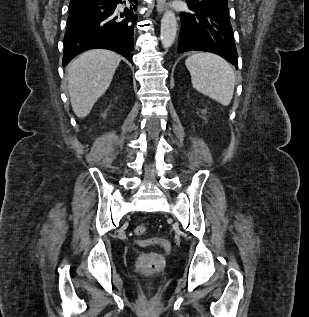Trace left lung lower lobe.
I'll return each mask as SVG.
<instances>
[{
  "instance_id": "1",
  "label": "left lung lower lobe",
  "mask_w": 309,
  "mask_h": 317,
  "mask_svg": "<svg viewBox=\"0 0 309 317\" xmlns=\"http://www.w3.org/2000/svg\"><path fill=\"white\" fill-rule=\"evenodd\" d=\"M188 6L189 13H180L178 52H211L238 68V55L229 12Z\"/></svg>"
}]
</instances>
